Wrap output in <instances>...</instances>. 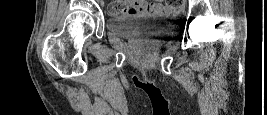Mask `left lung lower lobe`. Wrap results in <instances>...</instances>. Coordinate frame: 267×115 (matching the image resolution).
I'll list each match as a JSON object with an SVG mask.
<instances>
[{
	"label": "left lung lower lobe",
	"instance_id": "0a47b994",
	"mask_svg": "<svg viewBox=\"0 0 267 115\" xmlns=\"http://www.w3.org/2000/svg\"><path fill=\"white\" fill-rule=\"evenodd\" d=\"M137 87H144V86H141V85H137ZM150 89H152L153 91H157L159 92V89L155 88V87H148Z\"/></svg>",
	"mask_w": 267,
	"mask_h": 115
}]
</instances>
